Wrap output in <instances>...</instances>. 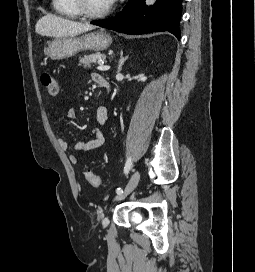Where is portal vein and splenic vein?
I'll use <instances>...</instances> for the list:
<instances>
[{
    "label": "portal vein and splenic vein",
    "instance_id": "18ae733b",
    "mask_svg": "<svg viewBox=\"0 0 255 272\" xmlns=\"http://www.w3.org/2000/svg\"><path fill=\"white\" fill-rule=\"evenodd\" d=\"M98 70L100 71H107L110 69V66L108 65H104L103 62L99 63V66L97 67Z\"/></svg>",
    "mask_w": 255,
    "mask_h": 272
}]
</instances>
